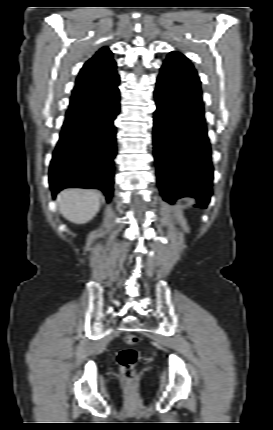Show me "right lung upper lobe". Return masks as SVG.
Segmentation results:
<instances>
[{
	"label": "right lung upper lobe",
	"instance_id": "obj_1",
	"mask_svg": "<svg viewBox=\"0 0 273 430\" xmlns=\"http://www.w3.org/2000/svg\"><path fill=\"white\" fill-rule=\"evenodd\" d=\"M118 76L116 63L108 47H103L85 63L76 80L75 90L69 108L88 100L90 89L103 81Z\"/></svg>",
	"mask_w": 273,
	"mask_h": 430
}]
</instances>
